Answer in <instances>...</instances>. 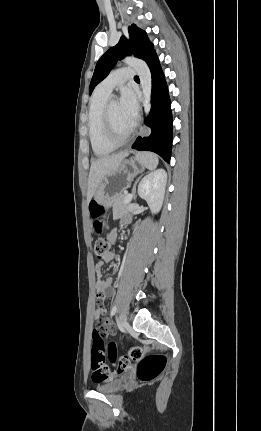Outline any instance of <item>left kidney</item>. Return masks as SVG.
Here are the masks:
<instances>
[{
    "label": "left kidney",
    "mask_w": 261,
    "mask_h": 431,
    "mask_svg": "<svg viewBox=\"0 0 261 431\" xmlns=\"http://www.w3.org/2000/svg\"><path fill=\"white\" fill-rule=\"evenodd\" d=\"M167 174L164 169L155 170L146 175L138 187L139 196L146 200L152 213L156 214L161 210Z\"/></svg>",
    "instance_id": "left-kidney-1"
}]
</instances>
